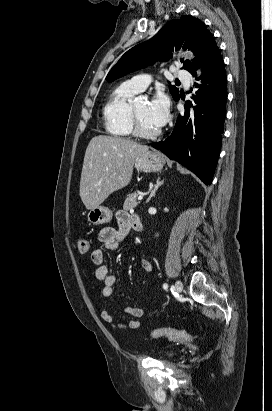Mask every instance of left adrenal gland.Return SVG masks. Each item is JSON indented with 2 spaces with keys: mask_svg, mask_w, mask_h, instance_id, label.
<instances>
[{
  "mask_svg": "<svg viewBox=\"0 0 272 411\" xmlns=\"http://www.w3.org/2000/svg\"><path fill=\"white\" fill-rule=\"evenodd\" d=\"M162 184H163V180L160 181V177H158V178H157V181H156V184H155L154 188L151 190V193H150V195H149V197H148V199H147V201H146L147 203L151 200L152 197L155 196L156 191L158 190V188H159L160 186H162Z\"/></svg>",
  "mask_w": 272,
  "mask_h": 411,
  "instance_id": "left-adrenal-gland-1",
  "label": "left adrenal gland"
}]
</instances>
